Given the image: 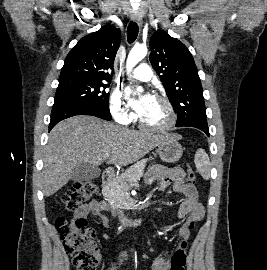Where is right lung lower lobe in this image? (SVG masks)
I'll use <instances>...</instances> for the list:
<instances>
[{"mask_svg": "<svg viewBox=\"0 0 267 270\" xmlns=\"http://www.w3.org/2000/svg\"><path fill=\"white\" fill-rule=\"evenodd\" d=\"M75 115H91L104 120H111L109 107L102 106H77L71 104H54L51 112L49 131L61 120Z\"/></svg>", "mask_w": 267, "mask_h": 270, "instance_id": "obj_1", "label": "right lung lower lobe"}]
</instances>
